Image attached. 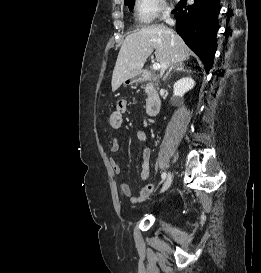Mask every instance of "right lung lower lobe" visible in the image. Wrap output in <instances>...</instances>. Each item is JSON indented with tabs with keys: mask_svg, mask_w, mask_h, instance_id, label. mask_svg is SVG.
Segmentation results:
<instances>
[{
	"mask_svg": "<svg viewBox=\"0 0 261 273\" xmlns=\"http://www.w3.org/2000/svg\"><path fill=\"white\" fill-rule=\"evenodd\" d=\"M194 1L193 5L186 6V0H180L172 13L176 18L177 33L199 56L209 72L217 47L219 0Z\"/></svg>",
	"mask_w": 261,
	"mask_h": 273,
	"instance_id": "1",
	"label": "right lung lower lobe"
}]
</instances>
